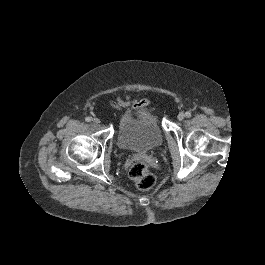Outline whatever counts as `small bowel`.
<instances>
[{
	"label": "small bowel",
	"instance_id": "1",
	"mask_svg": "<svg viewBox=\"0 0 265 265\" xmlns=\"http://www.w3.org/2000/svg\"><path fill=\"white\" fill-rule=\"evenodd\" d=\"M111 105L116 109H130L135 112H151L153 110L150 101L144 98H137L129 101L117 98L111 102Z\"/></svg>",
	"mask_w": 265,
	"mask_h": 265
}]
</instances>
